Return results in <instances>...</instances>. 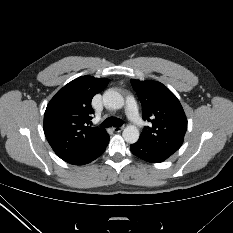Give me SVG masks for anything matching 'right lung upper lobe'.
<instances>
[{
    "label": "right lung upper lobe",
    "mask_w": 233,
    "mask_h": 233,
    "mask_svg": "<svg viewBox=\"0 0 233 233\" xmlns=\"http://www.w3.org/2000/svg\"><path fill=\"white\" fill-rule=\"evenodd\" d=\"M109 80L81 76L65 85L51 99L44 114V133L54 152L72 163L93 151L107 136L102 128H90L92 98Z\"/></svg>",
    "instance_id": "cb5924a9"
}]
</instances>
